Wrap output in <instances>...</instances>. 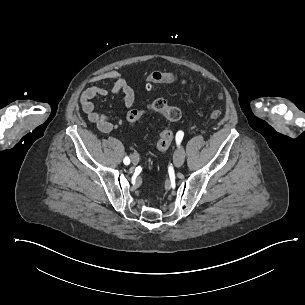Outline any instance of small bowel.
I'll return each instance as SVG.
<instances>
[{"instance_id":"1","label":"small bowel","mask_w":305,"mask_h":305,"mask_svg":"<svg viewBox=\"0 0 305 305\" xmlns=\"http://www.w3.org/2000/svg\"><path fill=\"white\" fill-rule=\"evenodd\" d=\"M94 81L110 80L113 83V93L121 98L125 109L130 110L136 100L133 88L127 83L124 74L119 70L102 72L93 78ZM107 95V90L102 87H91L84 91L80 97V106L89 122L100 132L109 133L114 128L112 119L95 109L94 100Z\"/></svg>"}]
</instances>
